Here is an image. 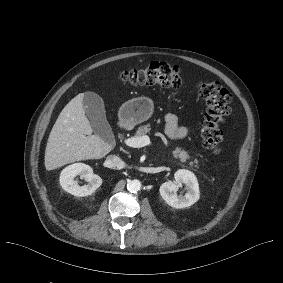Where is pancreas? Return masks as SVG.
I'll use <instances>...</instances> for the list:
<instances>
[{
	"label": "pancreas",
	"instance_id": "pancreas-1",
	"mask_svg": "<svg viewBox=\"0 0 283 283\" xmlns=\"http://www.w3.org/2000/svg\"><path fill=\"white\" fill-rule=\"evenodd\" d=\"M150 130H151L150 124H146V125L140 126L138 128V130L136 131L135 137L144 136L145 134L149 133ZM173 156L175 158H179L181 162H185L187 159L190 158L189 154L185 150H182L179 147H177L173 151ZM190 164L192 165L193 163L191 162Z\"/></svg>",
	"mask_w": 283,
	"mask_h": 283
}]
</instances>
